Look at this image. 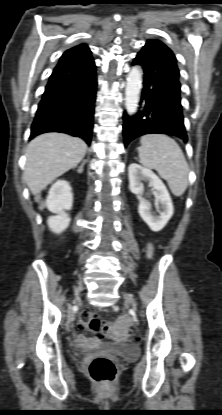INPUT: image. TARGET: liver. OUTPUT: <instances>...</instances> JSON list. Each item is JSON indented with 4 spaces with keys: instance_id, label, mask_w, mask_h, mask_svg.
Masks as SVG:
<instances>
[{
    "instance_id": "1",
    "label": "liver",
    "mask_w": 222,
    "mask_h": 415,
    "mask_svg": "<svg viewBox=\"0 0 222 415\" xmlns=\"http://www.w3.org/2000/svg\"><path fill=\"white\" fill-rule=\"evenodd\" d=\"M86 143L63 133H46L33 139L26 150L24 181L33 195L84 158Z\"/></svg>"
}]
</instances>
